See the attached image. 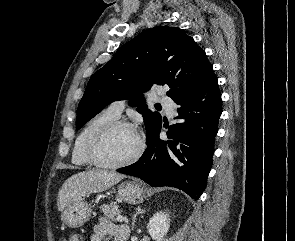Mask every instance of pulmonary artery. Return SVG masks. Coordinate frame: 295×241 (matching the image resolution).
<instances>
[{
    "instance_id": "obj_1",
    "label": "pulmonary artery",
    "mask_w": 295,
    "mask_h": 241,
    "mask_svg": "<svg viewBox=\"0 0 295 241\" xmlns=\"http://www.w3.org/2000/svg\"><path fill=\"white\" fill-rule=\"evenodd\" d=\"M160 101L164 108L166 109L168 115L172 116L175 113L176 106L174 102L167 96L161 95L160 96ZM126 102L124 100H117L112 102L108 109L114 113L117 116H120V114L123 112L125 108Z\"/></svg>"
}]
</instances>
